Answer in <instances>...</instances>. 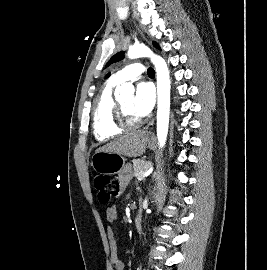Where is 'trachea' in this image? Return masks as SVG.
I'll return each mask as SVG.
<instances>
[{"label":"trachea","instance_id":"3493384b","mask_svg":"<svg viewBox=\"0 0 267 270\" xmlns=\"http://www.w3.org/2000/svg\"><path fill=\"white\" fill-rule=\"evenodd\" d=\"M147 73H148V75H154L155 74L154 69H152V68H148Z\"/></svg>","mask_w":267,"mask_h":270}]
</instances>
